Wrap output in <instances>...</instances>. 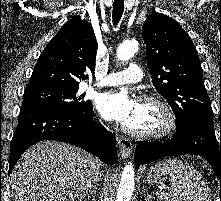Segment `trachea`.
Wrapping results in <instances>:
<instances>
[{
    "label": "trachea",
    "instance_id": "obj_1",
    "mask_svg": "<svg viewBox=\"0 0 221 201\" xmlns=\"http://www.w3.org/2000/svg\"><path fill=\"white\" fill-rule=\"evenodd\" d=\"M123 11H124V0H114L113 14H112L114 26H116L119 23Z\"/></svg>",
    "mask_w": 221,
    "mask_h": 201
}]
</instances>
